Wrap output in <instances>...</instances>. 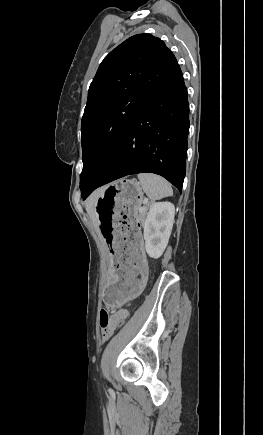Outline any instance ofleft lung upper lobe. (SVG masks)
Wrapping results in <instances>:
<instances>
[{"mask_svg":"<svg viewBox=\"0 0 263 435\" xmlns=\"http://www.w3.org/2000/svg\"><path fill=\"white\" fill-rule=\"evenodd\" d=\"M178 68L171 50L150 34L128 38L104 58L82 117L81 196L106 169L135 117Z\"/></svg>","mask_w":263,"mask_h":435,"instance_id":"obj_1","label":"left lung upper lobe"}]
</instances>
